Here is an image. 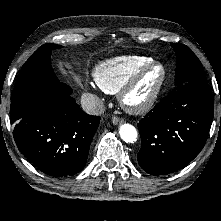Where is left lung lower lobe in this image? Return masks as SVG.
Segmentation results:
<instances>
[{
  "instance_id": "1",
  "label": "left lung lower lobe",
  "mask_w": 221,
  "mask_h": 221,
  "mask_svg": "<svg viewBox=\"0 0 221 221\" xmlns=\"http://www.w3.org/2000/svg\"><path fill=\"white\" fill-rule=\"evenodd\" d=\"M213 107L207 81L188 82L163 98L138 123L141 168L152 175H167L186 166L206 142Z\"/></svg>"
}]
</instances>
